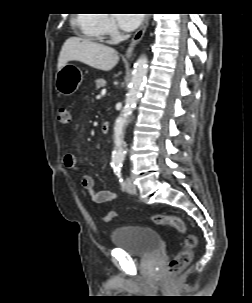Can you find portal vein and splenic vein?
<instances>
[{"label": "portal vein and splenic vein", "instance_id": "portal-vein-and-splenic-vein-1", "mask_svg": "<svg viewBox=\"0 0 252 303\" xmlns=\"http://www.w3.org/2000/svg\"><path fill=\"white\" fill-rule=\"evenodd\" d=\"M106 94V89H103L102 91H101V96H104Z\"/></svg>", "mask_w": 252, "mask_h": 303}]
</instances>
